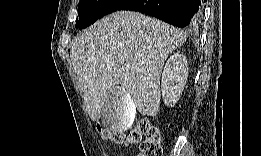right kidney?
<instances>
[{"label": "right kidney", "instance_id": "1", "mask_svg": "<svg viewBox=\"0 0 261 156\" xmlns=\"http://www.w3.org/2000/svg\"><path fill=\"white\" fill-rule=\"evenodd\" d=\"M188 76V62L184 55L173 54L162 74V98L166 105L173 106L180 99Z\"/></svg>", "mask_w": 261, "mask_h": 156}]
</instances>
